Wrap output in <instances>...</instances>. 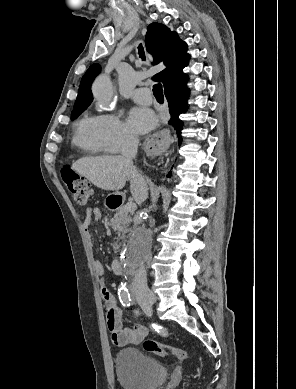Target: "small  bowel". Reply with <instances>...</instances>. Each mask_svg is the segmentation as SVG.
<instances>
[{
    "label": "small bowel",
    "instance_id": "c3829d8e",
    "mask_svg": "<svg viewBox=\"0 0 296 389\" xmlns=\"http://www.w3.org/2000/svg\"><path fill=\"white\" fill-rule=\"evenodd\" d=\"M101 216L100 209L88 208L83 220L85 230L88 232L90 226L98 222L101 219ZM99 272H102L101 265H99ZM101 293L107 304L106 323L112 342L119 347L141 343L148 335L147 327L139 324H136L133 327H124L122 323V312L114 295L106 287L102 288Z\"/></svg>",
    "mask_w": 296,
    "mask_h": 389
}]
</instances>
